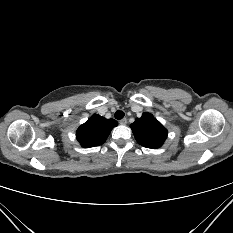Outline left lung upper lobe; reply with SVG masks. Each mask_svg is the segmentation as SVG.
I'll use <instances>...</instances> for the list:
<instances>
[{
	"mask_svg": "<svg viewBox=\"0 0 233 233\" xmlns=\"http://www.w3.org/2000/svg\"><path fill=\"white\" fill-rule=\"evenodd\" d=\"M130 127L137 142L152 149L161 147L168 134L167 129L151 113H143Z\"/></svg>",
	"mask_w": 233,
	"mask_h": 233,
	"instance_id": "1",
	"label": "left lung upper lobe"
}]
</instances>
